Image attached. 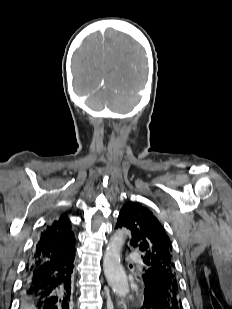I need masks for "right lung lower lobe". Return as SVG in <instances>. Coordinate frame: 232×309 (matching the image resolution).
<instances>
[{"label": "right lung lower lobe", "mask_w": 232, "mask_h": 309, "mask_svg": "<svg viewBox=\"0 0 232 309\" xmlns=\"http://www.w3.org/2000/svg\"><path fill=\"white\" fill-rule=\"evenodd\" d=\"M75 254L37 263L30 259L21 289L22 309H72Z\"/></svg>", "instance_id": "right-lung-lower-lobe-1"}]
</instances>
